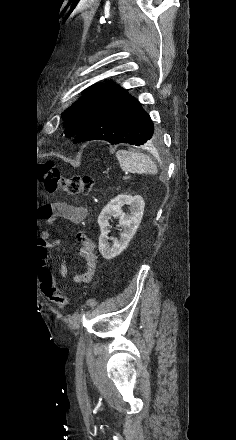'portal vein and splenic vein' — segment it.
Instances as JSON below:
<instances>
[{
  "instance_id": "18ae733b",
  "label": "portal vein and splenic vein",
  "mask_w": 236,
  "mask_h": 440,
  "mask_svg": "<svg viewBox=\"0 0 236 440\" xmlns=\"http://www.w3.org/2000/svg\"><path fill=\"white\" fill-rule=\"evenodd\" d=\"M127 178V176H125L123 179H126Z\"/></svg>"
}]
</instances>
